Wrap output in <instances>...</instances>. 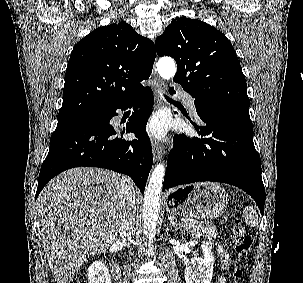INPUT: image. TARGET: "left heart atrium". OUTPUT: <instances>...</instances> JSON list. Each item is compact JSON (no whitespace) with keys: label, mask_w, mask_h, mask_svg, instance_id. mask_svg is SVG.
<instances>
[{"label":"left heart atrium","mask_w":303,"mask_h":283,"mask_svg":"<svg viewBox=\"0 0 303 283\" xmlns=\"http://www.w3.org/2000/svg\"><path fill=\"white\" fill-rule=\"evenodd\" d=\"M146 131L153 137H164L167 131L166 119L162 116L152 117L146 126Z\"/></svg>","instance_id":"39dd6f15"}]
</instances>
